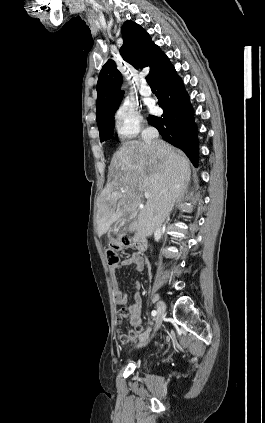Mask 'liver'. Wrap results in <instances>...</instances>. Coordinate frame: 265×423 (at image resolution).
Segmentation results:
<instances>
[{"label": "liver", "mask_w": 265, "mask_h": 423, "mask_svg": "<svg viewBox=\"0 0 265 423\" xmlns=\"http://www.w3.org/2000/svg\"><path fill=\"white\" fill-rule=\"evenodd\" d=\"M109 176L98 204V235L108 232L121 217L133 216L128 231L147 237L164 222L181 197L190 179V163L164 141L148 145L132 140L123 143L113 155ZM145 192L149 197L140 208Z\"/></svg>", "instance_id": "obj_1"}]
</instances>
